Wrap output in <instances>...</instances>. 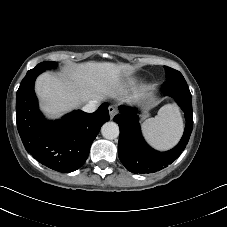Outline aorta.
Masks as SVG:
<instances>
[{
  "instance_id": "aorta-1",
  "label": "aorta",
  "mask_w": 227,
  "mask_h": 227,
  "mask_svg": "<svg viewBox=\"0 0 227 227\" xmlns=\"http://www.w3.org/2000/svg\"><path fill=\"white\" fill-rule=\"evenodd\" d=\"M102 136L108 140H113L119 136V127L115 122H107L101 128Z\"/></svg>"
}]
</instances>
